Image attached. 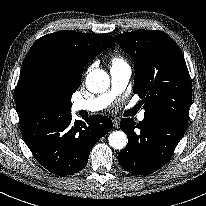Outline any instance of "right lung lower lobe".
I'll return each mask as SVG.
<instances>
[{
	"mask_svg": "<svg viewBox=\"0 0 206 206\" xmlns=\"http://www.w3.org/2000/svg\"><path fill=\"white\" fill-rule=\"evenodd\" d=\"M113 127L110 118L93 115L72 122L71 113L55 121L22 128L23 138L35 159L58 176L74 174L88 162L92 147Z\"/></svg>",
	"mask_w": 206,
	"mask_h": 206,
	"instance_id": "obj_1",
	"label": "right lung lower lobe"
}]
</instances>
